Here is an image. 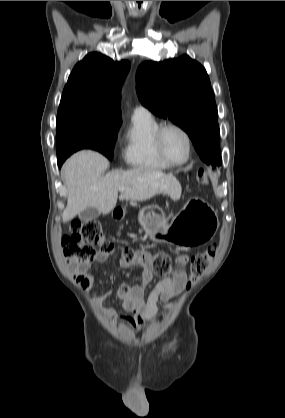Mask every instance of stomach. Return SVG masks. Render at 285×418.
Returning a JSON list of instances; mask_svg holds the SVG:
<instances>
[{
  "label": "stomach",
  "mask_w": 285,
  "mask_h": 418,
  "mask_svg": "<svg viewBox=\"0 0 285 418\" xmlns=\"http://www.w3.org/2000/svg\"><path fill=\"white\" fill-rule=\"evenodd\" d=\"M158 215L152 207L144 208L139 215V222L150 236H165L174 244L192 247L212 239L216 232L217 221L215 211L198 198L189 199L182 210L169 224L161 221L155 226Z\"/></svg>",
  "instance_id": "obj_1"
}]
</instances>
